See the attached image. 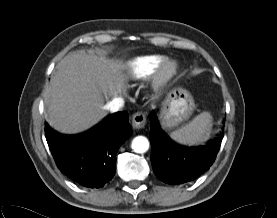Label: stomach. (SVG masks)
<instances>
[{"label":"stomach","mask_w":277,"mask_h":218,"mask_svg":"<svg viewBox=\"0 0 277 218\" xmlns=\"http://www.w3.org/2000/svg\"><path fill=\"white\" fill-rule=\"evenodd\" d=\"M195 103L191 94L181 88L172 89L160 110V119L164 128L172 129L186 121L193 113Z\"/></svg>","instance_id":"0dacf381"}]
</instances>
